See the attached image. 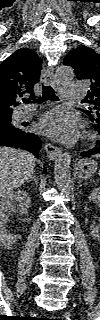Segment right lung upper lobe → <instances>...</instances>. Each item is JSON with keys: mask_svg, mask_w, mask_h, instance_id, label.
I'll return each mask as SVG.
<instances>
[{"mask_svg": "<svg viewBox=\"0 0 100 320\" xmlns=\"http://www.w3.org/2000/svg\"><path fill=\"white\" fill-rule=\"evenodd\" d=\"M42 60L37 53L21 48L0 65V120L11 118L24 94L33 95L39 81Z\"/></svg>", "mask_w": 100, "mask_h": 320, "instance_id": "obj_1", "label": "right lung upper lobe"}]
</instances>
